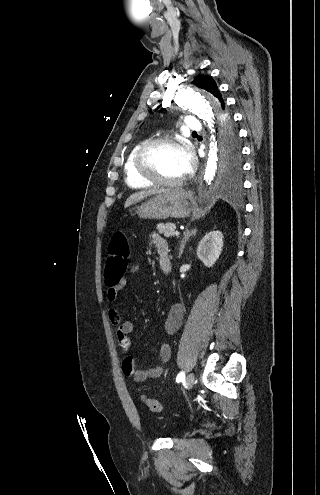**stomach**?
<instances>
[{
  "instance_id": "obj_1",
  "label": "stomach",
  "mask_w": 320,
  "mask_h": 495,
  "mask_svg": "<svg viewBox=\"0 0 320 495\" xmlns=\"http://www.w3.org/2000/svg\"><path fill=\"white\" fill-rule=\"evenodd\" d=\"M190 212L189 195L182 188L164 191L137 210L142 219L185 218Z\"/></svg>"
}]
</instances>
